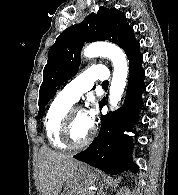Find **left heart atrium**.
Wrapping results in <instances>:
<instances>
[{
    "instance_id": "obj_1",
    "label": "left heart atrium",
    "mask_w": 178,
    "mask_h": 195,
    "mask_svg": "<svg viewBox=\"0 0 178 195\" xmlns=\"http://www.w3.org/2000/svg\"><path fill=\"white\" fill-rule=\"evenodd\" d=\"M84 116L87 124L93 128L96 118H97V110L94 106H91L86 112H84Z\"/></svg>"
}]
</instances>
